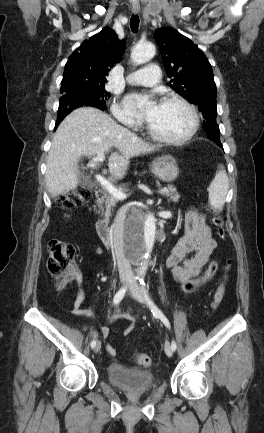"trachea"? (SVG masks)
I'll return each mask as SVG.
<instances>
[{
	"mask_svg": "<svg viewBox=\"0 0 264 433\" xmlns=\"http://www.w3.org/2000/svg\"><path fill=\"white\" fill-rule=\"evenodd\" d=\"M139 26V17L138 15H132L130 19V27L133 32H136Z\"/></svg>",
	"mask_w": 264,
	"mask_h": 433,
	"instance_id": "obj_1",
	"label": "trachea"
}]
</instances>
